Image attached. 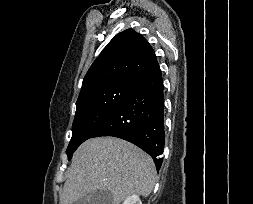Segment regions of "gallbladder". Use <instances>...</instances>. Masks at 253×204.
Masks as SVG:
<instances>
[{
	"mask_svg": "<svg viewBox=\"0 0 253 204\" xmlns=\"http://www.w3.org/2000/svg\"><path fill=\"white\" fill-rule=\"evenodd\" d=\"M75 204H113V198L108 190H96L80 198Z\"/></svg>",
	"mask_w": 253,
	"mask_h": 204,
	"instance_id": "obj_1",
	"label": "gallbladder"
}]
</instances>
